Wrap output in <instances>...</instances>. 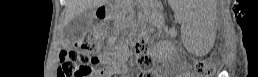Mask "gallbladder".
<instances>
[{
	"label": "gallbladder",
	"instance_id": "1",
	"mask_svg": "<svg viewBox=\"0 0 258 77\" xmlns=\"http://www.w3.org/2000/svg\"><path fill=\"white\" fill-rule=\"evenodd\" d=\"M94 17L92 9L73 18L64 28L66 40L74 42L83 37Z\"/></svg>",
	"mask_w": 258,
	"mask_h": 77
}]
</instances>
